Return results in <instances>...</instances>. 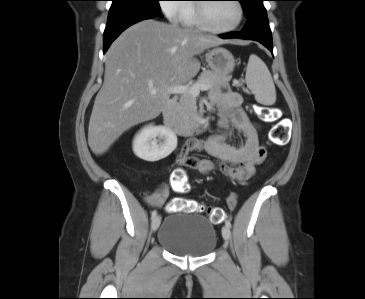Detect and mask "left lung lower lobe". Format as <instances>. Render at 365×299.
I'll list each match as a JSON object with an SVG mask.
<instances>
[{
  "instance_id": "obj_1",
  "label": "left lung lower lobe",
  "mask_w": 365,
  "mask_h": 299,
  "mask_svg": "<svg viewBox=\"0 0 365 299\" xmlns=\"http://www.w3.org/2000/svg\"><path fill=\"white\" fill-rule=\"evenodd\" d=\"M222 38H240L255 40L273 52L271 30L268 23L266 10L259 11L248 18L246 26L240 32H229L221 35Z\"/></svg>"
}]
</instances>
